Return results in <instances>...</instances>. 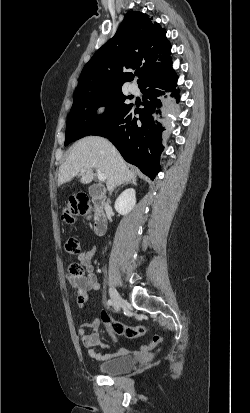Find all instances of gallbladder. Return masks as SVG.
<instances>
[{
    "instance_id": "gallbladder-1",
    "label": "gallbladder",
    "mask_w": 250,
    "mask_h": 413,
    "mask_svg": "<svg viewBox=\"0 0 250 413\" xmlns=\"http://www.w3.org/2000/svg\"><path fill=\"white\" fill-rule=\"evenodd\" d=\"M93 191V188H90V192H92Z\"/></svg>"
}]
</instances>
